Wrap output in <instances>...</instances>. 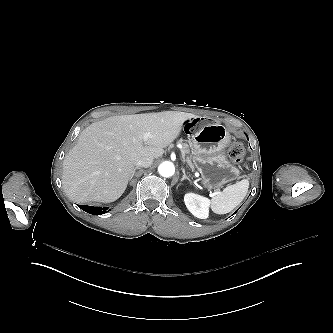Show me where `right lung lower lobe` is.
<instances>
[{
  "label": "right lung lower lobe",
  "mask_w": 333,
  "mask_h": 333,
  "mask_svg": "<svg viewBox=\"0 0 333 333\" xmlns=\"http://www.w3.org/2000/svg\"><path fill=\"white\" fill-rule=\"evenodd\" d=\"M80 208L87 213L94 214V215H100L103 213H106L107 207H93V206H86V205H80Z\"/></svg>",
  "instance_id": "98d812e1"
}]
</instances>
